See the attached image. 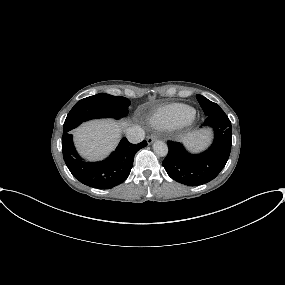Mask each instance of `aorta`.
Listing matches in <instances>:
<instances>
[{
	"label": "aorta",
	"instance_id": "1",
	"mask_svg": "<svg viewBox=\"0 0 285 285\" xmlns=\"http://www.w3.org/2000/svg\"><path fill=\"white\" fill-rule=\"evenodd\" d=\"M153 150L158 156H161V157H164L168 154L167 144L160 140L154 142Z\"/></svg>",
	"mask_w": 285,
	"mask_h": 285
}]
</instances>
